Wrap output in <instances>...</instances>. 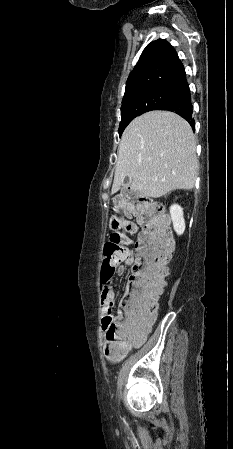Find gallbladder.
<instances>
[{"instance_id":"obj_1","label":"gallbladder","mask_w":233,"mask_h":449,"mask_svg":"<svg viewBox=\"0 0 233 449\" xmlns=\"http://www.w3.org/2000/svg\"><path fill=\"white\" fill-rule=\"evenodd\" d=\"M129 185H130V180H129L128 177H126L125 180H124V184H123L122 190H121V194L124 195V196L125 195H130L133 198H136L137 196H139L140 195L139 192L128 190Z\"/></svg>"}]
</instances>
